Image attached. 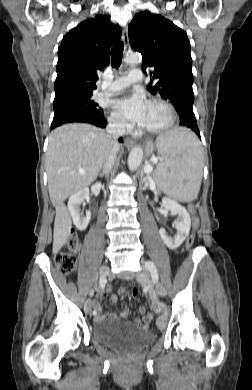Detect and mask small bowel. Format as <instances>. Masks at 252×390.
<instances>
[{
	"label": "small bowel",
	"instance_id": "obj_1",
	"mask_svg": "<svg viewBox=\"0 0 252 390\" xmlns=\"http://www.w3.org/2000/svg\"><path fill=\"white\" fill-rule=\"evenodd\" d=\"M111 292V289L108 288L106 291H103V290H99L98 291V295L97 297L98 298H103L106 296L107 293H110ZM119 294L120 295H124L125 294V291L124 290H119ZM110 299H111V302L112 303H117L118 301V296L117 294L115 293H111V296H110ZM93 307H94V311H97L98 312V315L95 316V320L97 322H102L104 320H127L128 319V309H124L121 313L119 314H113V313H106V314H103L102 313V306H101V303L100 301L97 299V300H94L93 301ZM139 312L141 315L145 316L146 315V309L144 306H141L139 308ZM134 324L137 325L138 327H142V326H146L147 324L146 323H143L140 319H134L133 320Z\"/></svg>",
	"mask_w": 252,
	"mask_h": 390
}]
</instances>
